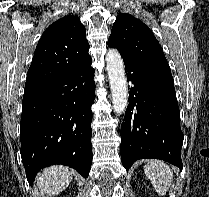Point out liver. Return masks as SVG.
<instances>
[{
    "mask_svg": "<svg viewBox=\"0 0 209 197\" xmlns=\"http://www.w3.org/2000/svg\"><path fill=\"white\" fill-rule=\"evenodd\" d=\"M73 172L65 166H51L44 169L37 176V185L40 193L54 196L65 190L71 180Z\"/></svg>",
    "mask_w": 209,
    "mask_h": 197,
    "instance_id": "6515ba94",
    "label": "liver"
}]
</instances>
